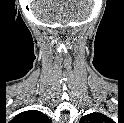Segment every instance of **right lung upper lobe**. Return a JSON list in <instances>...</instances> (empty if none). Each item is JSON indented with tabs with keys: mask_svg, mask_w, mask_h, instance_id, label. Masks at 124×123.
Returning <instances> with one entry per match:
<instances>
[{
	"mask_svg": "<svg viewBox=\"0 0 124 123\" xmlns=\"http://www.w3.org/2000/svg\"><path fill=\"white\" fill-rule=\"evenodd\" d=\"M15 120L22 123H50L51 120L47 115L37 110L25 111L18 114Z\"/></svg>",
	"mask_w": 124,
	"mask_h": 123,
	"instance_id": "obj_1",
	"label": "right lung upper lobe"
}]
</instances>
